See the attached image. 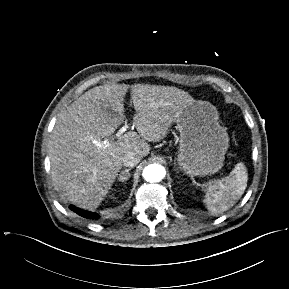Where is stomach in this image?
I'll return each instance as SVG.
<instances>
[{
    "instance_id": "obj_1",
    "label": "stomach",
    "mask_w": 289,
    "mask_h": 289,
    "mask_svg": "<svg viewBox=\"0 0 289 289\" xmlns=\"http://www.w3.org/2000/svg\"><path fill=\"white\" fill-rule=\"evenodd\" d=\"M176 123L180 132V169L194 176L218 172L229 147V136L219 124L216 108L206 101H194L183 107Z\"/></svg>"
}]
</instances>
